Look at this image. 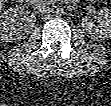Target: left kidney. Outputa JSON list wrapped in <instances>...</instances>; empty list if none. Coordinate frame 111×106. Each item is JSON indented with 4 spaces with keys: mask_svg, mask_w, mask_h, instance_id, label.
<instances>
[{
    "mask_svg": "<svg viewBox=\"0 0 111 106\" xmlns=\"http://www.w3.org/2000/svg\"><path fill=\"white\" fill-rule=\"evenodd\" d=\"M99 24L85 20L84 29L87 35L92 39H109L111 38V10L101 8L98 10Z\"/></svg>",
    "mask_w": 111,
    "mask_h": 106,
    "instance_id": "obj_1",
    "label": "left kidney"
}]
</instances>
